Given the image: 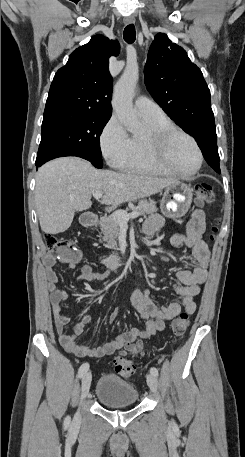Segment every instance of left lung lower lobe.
I'll return each mask as SVG.
<instances>
[{
  "label": "left lung lower lobe",
  "instance_id": "obj_1",
  "mask_svg": "<svg viewBox=\"0 0 245 457\" xmlns=\"http://www.w3.org/2000/svg\"><path fill=\"white\" fill-rule=\"evenodd\" d=\"M196 141L202 150L203 156L207 163L217 172H220L219 154L217 149V136L215 128H211L203 133Z\"/></svg>",
  "mask_w": 245,
  "mask_h": 457
}]
</instances>
